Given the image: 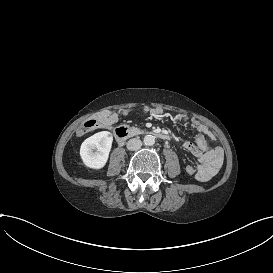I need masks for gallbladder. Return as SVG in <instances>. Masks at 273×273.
<instances>
[{"label":"gallbladder","mask_w":273,"mask_h":273,"mask_svg":"<svg viewBox=\"0 0 273 273\" xmlns=\"http://www.w3.org/2000/svg\"><path fill=\"white\" fill-rule=\"evenodd\" d=\"M134 112H135V109H134V108H129V109H125V110H124V113H125V114L134 113Z\"/></svg>","instance_id":"bac80fb5"}]
</instances>
